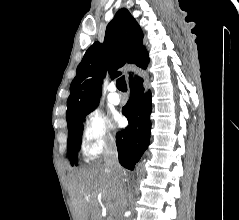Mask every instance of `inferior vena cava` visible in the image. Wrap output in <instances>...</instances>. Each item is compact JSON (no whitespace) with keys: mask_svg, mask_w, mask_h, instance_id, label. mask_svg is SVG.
Instances as JSON below:
<instances>
[{"mask_svg":"<svg viewBox=\"0 0 239 220\" xmlns=\"http://www.w3.org/2000/svg\"><path fill=\"white\" fill-rule=\"evenodd\" d=\"M104 162L105 165L110 167L118 175V187L122 197V208L125 209L127 204L125 182L121 176L122 168L118 161L117 147L113 139L109 140L105 147ZM119 220H124L122 215Z\"/></svg>","mask_w":239,"mask_h":220,"instance_id":"obj_1","label":"inferior vena cava"}]
</instances>
